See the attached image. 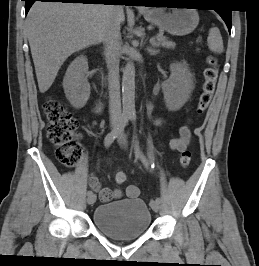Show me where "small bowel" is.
<instances>
[{"label":"small bowel","instance_id":"obj_1","mask_svg":"<svg viewBox=\"0 0 259 266\" xmlns=\"http://www.w3.org/2000/svg\"><path fill=\"white\" fill-rule=\"evenodd\" d=\"M154 123L156 126H161L164 120L160 117L155 118ZM191 133L187 125L182 126L179 130V137L171 139L169 142V148L173 151L183 152L186 151L190 143ZM90 187L96 191L102 202H108L112 199H118L122 196L120 189L102 188L97 177L92 175L89 179ZM125 194L128 198L134 199L139 195L138 187L130 185L126 188Z\"/></svg>","mask_w":259,"mask_h":266}]
</instances>
